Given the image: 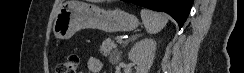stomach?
I'll return each instance as SVG.
<instances>
[{"label": "stomach", "mask_w": 244, "mask_h": 73, "mask_svg": "<svg viewBox=\"0 0 244 73\" xmlns=\"http://www.w3.org/2000/svg\"><path fill=\"white\" fill-rule=\"evenodd\" d=\"M138 25L139 20L125 11L106 10L80 0H68L55 17L53 34L55 38L65 40L80 29L92 28L106 33H118L132 31Z\"/></svg>", "instance_id": "0dacf381"}]
</instances>
